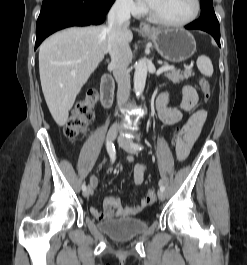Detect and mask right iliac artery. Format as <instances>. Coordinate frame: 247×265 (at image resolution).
<instances>
[{"mask_svg": "<svg viewBox=\"0 0 247 265\" xmlns=\"http://www.w3.org/2000/svg\"><path fill=\"white\" fill-rule=\"evenodd\" d=\"M107 151L109 153V156H110L112 162H114L116 152H115L114 144L112 142L107 141ZM82 190L83 191L86 190V185L85 184L82 185Z\"/></svg>", "mask_w": 247, "mask_h": 265, "instance_id": "obj_1", "label": "right iliac artery"}]
</instances>
